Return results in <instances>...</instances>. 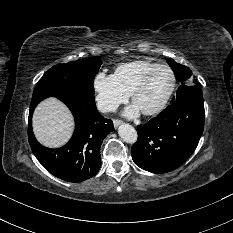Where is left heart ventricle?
Returning a JSON list of instances; mask_svg holds the SVG:
<instances>
[{
  "instance_id": "obj_1",
  "label": "left heart ventricle",
  "mask_w": 233,
  "mask_h": 233,
  "mask_svg": "<svg viewBox=\"0 0 233 233\" xmlns=\"http://www.w3.org/2000/svg\"><path fill=\"white\" fill-rule=\"evenodd\" d=\"M172 84L171 73L167 69L156 71L145 88L137 94L134 104L141 112L154 109L168 93Z\"/></svg>"
}]
</instances>
